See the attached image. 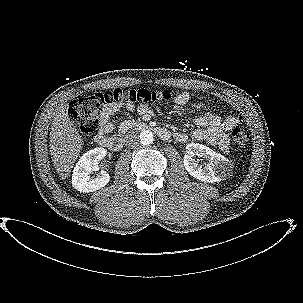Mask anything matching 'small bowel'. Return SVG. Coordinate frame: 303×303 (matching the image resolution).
<instances>
[{"mask_svg": "<svg viewBox=\"0 0 303 303\" xmlns=\"http://www.w3.org/2000/svg\"><path fill=\"white\" fill-rule=\"evenodd\" d=\"M174 100L178 104H185L189 100V94L186 92L179 93ZM194 107L200 113L196 119V123L200 128L194 130L191 133V137L218 145L223 151H227L229 148L227 132L239 125V119L235 116H229L222 120L220 116L213 113L206 104L201 102L196 103ZM122 109L126 112H132L135 110V106L132 104L114 103L103 107L99 114L98 141L113 131L114 126L110 121V117ZM136 110L142 115L151 114V109L145 104L138 105ZM174 137L179 142H186L189 138L188 134L184 132H176Z\"/></svg>", "mask_w": 303, "mask_h": 303, "instance_id": "c3829d8e", "label": "small bowel"}]
</instances>
